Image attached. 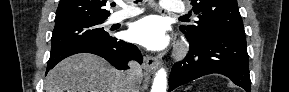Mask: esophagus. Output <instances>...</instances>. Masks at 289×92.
Masks as SVG:
<instances>
[{"label": "esophagus", "mask_w": 289, "mask_h": 92, "mask_svg": "<svg viewBox=\"0 0 289 92\" xmlns=\"http://www.w3.org/2000/svg\"><path fill=\"white\" fill-rule=\"evenodd\" d=\"M144 65L148 73L152 74L160 65V62L157 58L146 55L144 59Z\"/></svg>", "instance_id": "34e87169"}]
</instances>
